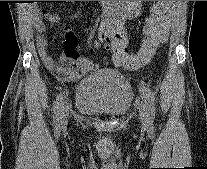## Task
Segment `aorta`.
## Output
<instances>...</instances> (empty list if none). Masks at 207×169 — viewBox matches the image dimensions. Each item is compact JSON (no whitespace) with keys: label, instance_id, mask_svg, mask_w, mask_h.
<instances>
[{"label":"aorta","instance_id":"aorta-1","mask_svg":"<svg viewBox=\"0 0 207 169\" xmlns=\"http://www.w3.org/2000/svg\"><path fill=\"white\" fill-rule=\"evenodd\" d=\"M133 1H109V9L112 12H126L125 9L131 6L133 4Z\"/></svg>","mask_w":207,"mask_h":169}]
</instances>
